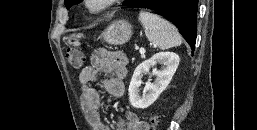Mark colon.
<instances>
[{"label": "colon", "instance_id": "5ec220e1", "mask_svg": "<svg viewBox=\"0 0 257 130\" xmlns=\"http://www.w3.org/2000/svg\"><path fill=\"white\" fill-rule=\"evenodd\" d=\"M67 59L70 66L78 70L83 67L85 56L80 49H71L67 53ZM149 122H150L151 130H158V126L160 123V116L159 115L151 116Z\"/></svg>", "mask_w": 257, "mask_h": 130}]
</instances>
